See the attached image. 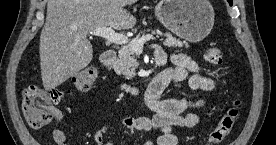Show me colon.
<instances>
[{"label": "colon", "instance_id": "colon-1", "mask_svg": "<svg viewBox=\"0 0 276 145\" xmlns=\"http://www.w3.org/2000/svg\"><path fill=\"white\" fill-rule=\"evenodd\" d=\"M224 52L219 47L208 48L204 59L210 65H220ZM97 70L92 67L74 73L70 82L79 90H88L97 78ZM62 91L56 88H44L39 85H28L22 93L21 110L27 124L32 128H42L53 118L54 107L62 98ZM241 101L234 100L211 131L206 145H218L232 131L240 113Z\"/></svg>", "mask_w": 276, "mask_h": 145}]
</instances>
